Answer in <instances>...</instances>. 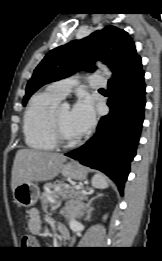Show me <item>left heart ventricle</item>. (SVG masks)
<instances>
[{
  "instance_id": "left-heart-ventricle-1",
  "label": "left heart ventricle",
  "mask_w": 162,
  "mask_h": 261,
  "mask_svg": "<svg viewBox=\"0 0 162 261\" xmlns=\"http://www.w3.org/2000/svg\"><path fill=\"white\" fill-rule=\"evenodd\" d=\"M57 121L61 128L63 135L69 139L73 140L79 137V134L73 129L70 123V111L67 108L57 109Z\"/></svg>"
}]
</instances>
